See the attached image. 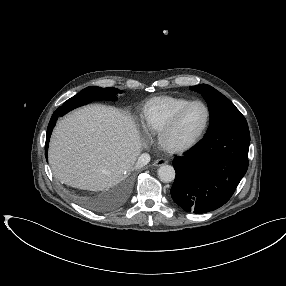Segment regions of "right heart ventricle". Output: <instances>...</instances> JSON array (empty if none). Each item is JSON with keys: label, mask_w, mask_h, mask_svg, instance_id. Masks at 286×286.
I'll return each mask as SVG.
<instances>
[{"label": "right heart ventricle", "mask_w": 286, "mask_h": 286, "mask_svg": "<svg viewBox=\"0 0 286 286\" xmlns=\"http://www.w3.org/2000/svg\"><path fill=\"white\" fill-rule=\"evenodd\" d=\"M192 100L185 97L157 96L147 100L141 111L143 129L158 134L163 126Z\"/></svg>", "instance_id": "obj_1"}]
</instances>
